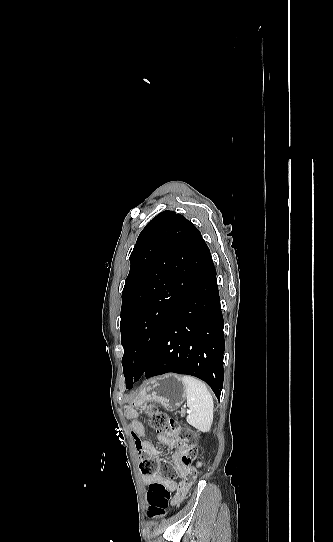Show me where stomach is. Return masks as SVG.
<instances>
[{
  "label": "stomach",
  "instance_id": "stomach-1",
  "mask_svg": "<svg viewBox=\"0 0 333 542\" xmlns=\"http://www.w3.org/2000/svg\"><path fill=\"white\" fill-rule=\"evenodd\" d=\"M186 400L185 388L176 374H166L152 378L145 384L142 392L133 400L134 406H143L147 402H157L168 412L178 410Z\"/></svg>",
  "mask_w": 333,
  "mask_h": 542
}]
</instances>
